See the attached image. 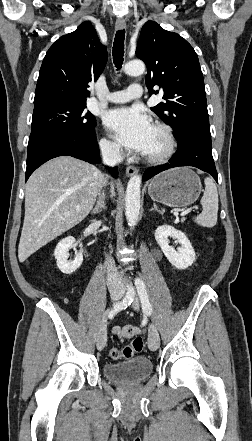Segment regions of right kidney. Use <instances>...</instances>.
I'll list each match as a JSON object with an SVG mask.
<instances>
[{
  "label": "right kidney",
  "instance_id": "right-kidney-1",
  "mask_svg": "<svg viewBox=\"0 0 252 441\" xmlns=\"http://www.w3.org/2000/svg\"><path fill=\"white\" fill-rule=\"evenodd\" d=\"M75 245V238L72 236L62 239L56 246L54 256L59 270L67 275L75 272L83 262V251L76 254L73 261H68L69 248Z\"/></svg>",
  "mask_w": 252,
  "mask_h": 441
}]
</instances>
